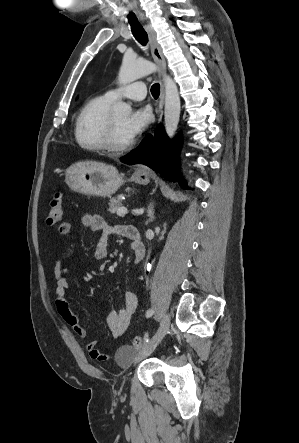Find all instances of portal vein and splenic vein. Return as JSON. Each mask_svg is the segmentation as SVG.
<instances>
[{
	"label": "portal vein and splenic vein",
	"instance_id": "obj_1",
	"mask_svg": "<svg viewBox=\"0 0 299 443\" xmlns=\"http://www.w3.org/2000/svg\"><path fill=\"white\" fill-rule=\"evenodd\" d=\"M127 213H128V210L125 207H120L117 210V215L118 216H124ZM133 213H135V214H142L143 210H133Z\"/></svg>",
	"mask_w": 299,
	"mask_h": 443
}]
</instances>
